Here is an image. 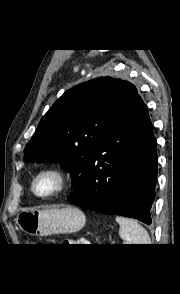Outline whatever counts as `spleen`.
I'll return each instance as SVG.
<instances>
[{"instance_id": "3e777b00", "label": "spleen", "mask_w": 180, "mask_h": 294, "mask_svg": "<svg viewBox=\"0 0 180 294\" xmlns=\"http://www.w3.org/2000/svg\"><path fill=\"white\" fill-rule=\"evenodd\" d=\"M120 225L119 235L124 244H150L148 232L135 220L116 216Z\"/></svg>"}]
</instances>
